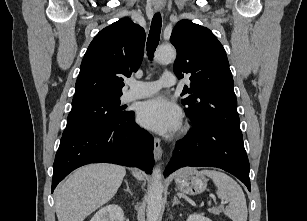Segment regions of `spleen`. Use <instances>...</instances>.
I'll use <instances>...</instances> for the list:
<instances>
[{
  "instance_id": "spleen-1",
  "label": "spleen",
  "mask_w": 307,
  "mask_h": 221,
  "mask_svg": "<svg viewBox=\"0 0 307 221\" xmlns=\"http://www.w3.org/2000/svg\"><path fill=\"white\" fill-rule=\"evenodd\" d=\"M217 186V196L229 203L224 214L232 221H247L248 211L246 198L239 184L227 174L217 170H202Z\"/></svg>"
}]
</instances>
